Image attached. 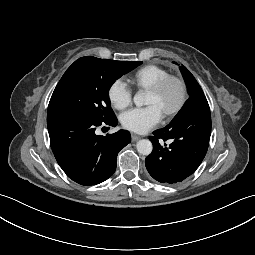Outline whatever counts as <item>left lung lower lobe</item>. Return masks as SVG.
<instances>
[{"mask_svg": "<svg viewBox=\"0 0 255 255\" xmlns=\"http://www.w3.org/2000/svg\"><path fill=\"white\" fill-rule=\"evenodd\" d=\"M210 135L211 114L207 99L204 94L193 96L170 124L150 136L153 151L145 160L149 174L164 184L182 182L204 159Z\"/></svg>", "mask_w": 255, "mask_h": 255, "instance_id": "obj_1", "label": "left lung lower lobe"}]
</instances>
